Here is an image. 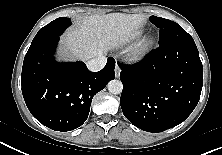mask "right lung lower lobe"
Returning <instances> with one entry per match:
<instances>
[{
    "label": "right lung lower lobe",
    "mask_w": 222,
    "mask_h": 155,
    "mask_svg": "<svg viewBox=\"0 0 222 155\" xmlns=\"http://www.w3.org/2000/svg\"><path fill=\"white\" fill-rule=\"evenodd\" d=\"M59 36L28 50L21 84L26 105L43 125L55 131H71L88 118L93 96L114 79L112 58L99 72L83 62H57L53 54Z\"/></svg>",
    "instance_id": "right-lung-lower-lobe-1"
}]
</instances>
